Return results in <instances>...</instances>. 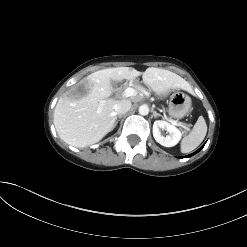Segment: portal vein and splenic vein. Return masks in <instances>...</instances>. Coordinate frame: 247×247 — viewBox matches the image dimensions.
Instances as JSON below:
<instances>
[{
    "label": "portal vein and splenic vein",
    "mask_w": 247,
    "mask_h": 247,
    "mask_svg": "<svg viewBox=\"0 0 247 247\" xmlns=\"http://www.w3.org/2000/svg\"><path fill=\"white\" fill-rule=\"evenodd\" d=\"M137 94V91L132 88V87H128L127 89L124 90L123 92V96L124 97H131V96H135ZM166 119L171 122L173 125H176V126H182L181 123H178L177 121L173 120V119H169L166 117Z\"/></svg>",
    "instance_id": "portal-vein-and-splenic-vein-1"
}]
</instances>
